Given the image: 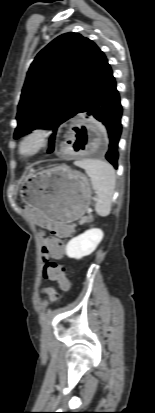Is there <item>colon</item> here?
Listing matches in <instances>:
<instances>
[{
	"label": "colon",
	"mask_w": 155,
	"mask_h": 413,
	"mask_svg": "<svg viewBox=\"0 0 155 413\" xmlns=\"http://www.w3.org/2000/svg\"><path fill=\"white\" fill-rule=\"evenodd\" d=\"M62 244L60 240L52 236L46 240L42 247L43 272L45 280L57 281L61 290H70L71 283L69 275L65 273L64 267L58 264L54 259L61 257ZM51 298H55V293H50Z\"/></svg>",
	"instance_id": "1"
}]
</instances>
